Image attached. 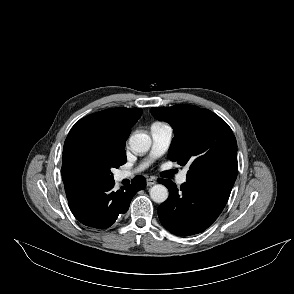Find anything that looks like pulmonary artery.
Returning <instances> with one entry per match:
<instances>
[{"mask_svg": "<svg viewBox=\"0 0 294 294\" xmlns=\"http://www.w3.org/2000/svg\"><path fill=\"white\" fill-rule=\"evenodd\" d=\"M150 135L152 138V147L149 157L134 169L121 170L116 176L118 180L133 176L135 173L146 168L153 160L163 155L167 151L172 140L173 129L167 123L155 122L150 126ZM186 179L187 169H184L178 174L176 182L182 185L186 182Z\"/></svg>", "mask_w": 294, "mask_h": 294, "instance_id": "obj_1", "label": "pulmonary artery"}]
</instances>
